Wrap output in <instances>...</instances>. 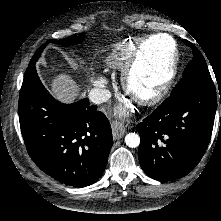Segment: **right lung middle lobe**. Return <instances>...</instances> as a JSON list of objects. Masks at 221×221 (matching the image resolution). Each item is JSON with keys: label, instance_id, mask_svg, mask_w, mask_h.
<instances>
[{"label": "right lung middle lobe", "instance_id": "obj_1", "mask_svg": "<svg viewBox=\"0 0 221 221\" xmlns=\"http://www.w3.org/2000/svg\"><path fill=\"white\" fill-rule=\"evenodd\" d=\"M81 38H84V34H80L78 37L76 35L70 36L68 38L65 39H61V40H48L44 45H42L34 54V56L32 57L29 66L25 72V76L28 75L31 70H33L35 68V63L38 60L40 54L42 53L43 49L45 48V46L48 43H54V44H59V45H74L77 44Z\"/></svg>", "mask_w": 221, "mask_h": 221}]
</instances>
